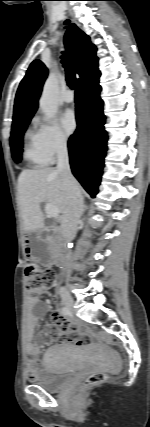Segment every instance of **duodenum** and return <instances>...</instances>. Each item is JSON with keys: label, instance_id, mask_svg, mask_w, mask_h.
<instances>
[{"label": "duodenum", "instance_id": "410a0bca", "mask_svg": "<svg viewBox=\"0 0 150 427\" xmlns=\"http://www.w3.org/2000/svg\"><path fill=\"white\" fill-rule=\"evenodd\" d=\"M57 241H60V236H56ZM29 238H27V242H29ZM56 265L61 266L64 263V257L62 255L57 256L56 258Z\"/></svg>", "mask_w": 150, "mask_h": 427}]
</instances>
